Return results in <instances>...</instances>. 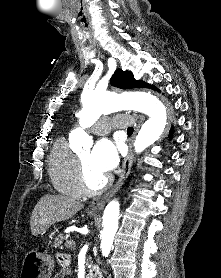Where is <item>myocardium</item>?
Listing matches in <instances>:
<instances>
[{
	"instance_id": "1",
	"label": "myocardium",
	"mask_w": 221,
	"mask_h": 278,
	"mask_svg": "<svg viewBox=\"0 0 221 278\" xmlns=\"http://www.w3.org/2000/svg\"><path fill=\"white\" fill-rule=\"evenodd\" d=\"M76 171L78 183L85 194L97 195L104 192L111 183V177L106 176L105 179L96 187L90 185L87 172L79 156L76 157Z\"/></svg>"
}]
</instances>
